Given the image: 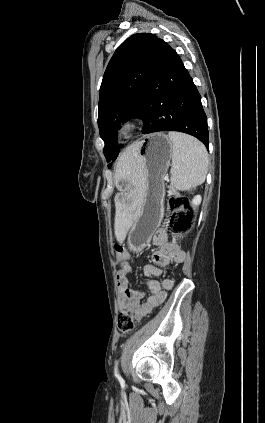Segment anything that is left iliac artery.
<instances>
[{"label":"left iliac artery","mask_w":265,"mask_h":423,"mask_svg":"<svg viewBox=\"0 0 265 423\" xmlns=\"http://www.w3.org/2000/svg\"><path fill=\"white\" fill-rule=\"evenodd\" d=\"M117 365H118V361H116V362H115L114 374H115V376H116V377H118V378H119V377H120V375H119V374H118V372H117Z\"/></svg>","instance_id":"1"}]
</instances>
